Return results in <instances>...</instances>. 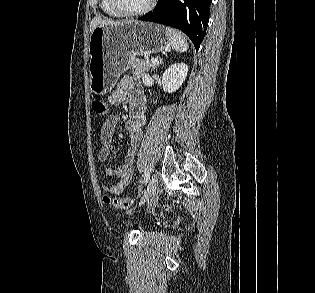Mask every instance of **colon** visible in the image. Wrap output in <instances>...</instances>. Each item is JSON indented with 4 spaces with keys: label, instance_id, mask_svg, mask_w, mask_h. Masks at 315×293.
I'll list each match as a JSON object with an SVG mask.
<instances>
[{
    "label": "colon",
    "instance_id": "obj_1",
    "mask_svg": "<svg viewBox=\"0 0 315 293\" xmlns=\"http://www.w3.org/2000/svg\"><path fill=\"white\" fill-rule=\"evenodd\" d=\"M92 110L98 115H105L108 107L105 101L95 99L92 102ZM103 201L106 205L119 210H128L135 202L133 198H111L107 195L103 196Z\"/></svg>",
    "mask_w": 315,
    "mask_h": 293
}]
</instances>
